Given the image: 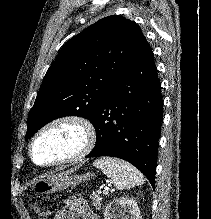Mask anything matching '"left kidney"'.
<instances>
[{
    "label": "left kidney",
    "instance_id": "obj_1",
    "mask_svg": "<svg viewBox=\"0 0 211 219\" xmlns=\"http://www.w3.org/2000/svg\"><path fill=\"white\" fill-rule=\"evenodd\" d=\"M127 216L130 219H142L137 202L129 197H121L113 200L104 212V219H128Z\"/></svg>",
    "mask_w": 211,
    "mask_h": 219
}]
</instances>
